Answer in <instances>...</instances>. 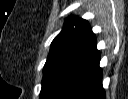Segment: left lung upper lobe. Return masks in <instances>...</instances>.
<instances>
[{
    "label": "left lung upper lobe",
    "instance_id": "left-lung-upper-lobe-1",
    "mask_svg": "<svg viewBox=\"0 0 128 99\" xmlns=\"http://www.w3.org/2000/svg\"><path fill=\"white\" fill-rule=\"evenodd\" d=\"M93 35L86 20L77 17L66 19L64 28L51 44V49L43 68L40 99L46 93L57 70L84 46Z\"/></svg>",
    "mask_w": 128,
    "mask_h": 99
}]
</instances>
